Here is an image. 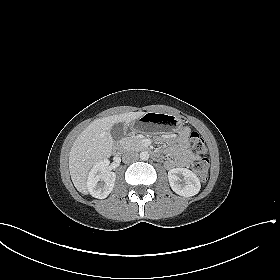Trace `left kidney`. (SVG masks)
Masks as SVG:
<instances>
[{
    "label": "left kidney",
    "instance_id": "left-kidney-1",
    "mask_svg": "<svg viewBox=\"0 0 280 280\" xmlns=\"http://www.w3.org/2000/svg\"><path fill=\"white\" fill-rule=\"evenodd\" d=\"M170 187L178 195L191 197L200 191L199 178L186 168H173L168 172Z\"/></svg>",
    "mask_w": 280,
    "mask_h": 280
}]
</instances>
